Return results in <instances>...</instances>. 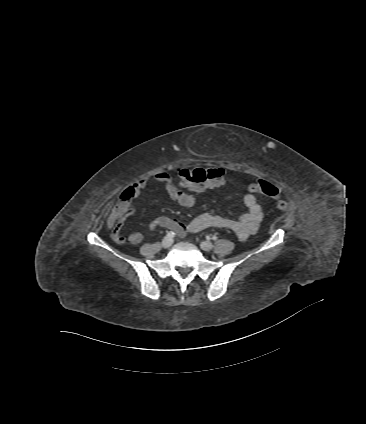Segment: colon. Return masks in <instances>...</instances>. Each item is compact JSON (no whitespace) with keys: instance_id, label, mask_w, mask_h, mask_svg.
Instances as JSON below:
<instances>
[{"instance_id":"1","label":"colon","mask_w":366,"mask_h":424,"mask_svg":"<svg viewBox=\"0 0 366 424\" xmlns=\"http://www.w3.org/2000/svg\"><path fill=\"white\" fill-rule=\"evenodd\" d=\"M221 173L213 168H181L178 171V176L183 185L193 189H202L218 182ZM250 189L273 199L279 210L286 211L288 209V204L281 199L278 188L272 183L259 179L256 183L251 184ZM133 197L134 193L131 189H127L122 194L121 201L114 208V212L120 218H127L131 215L133 209L130 201Z\"/></svg>"}]
</instances>
